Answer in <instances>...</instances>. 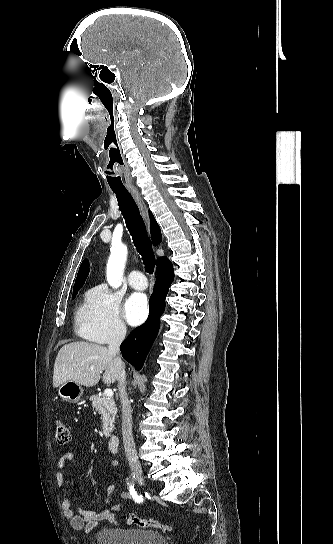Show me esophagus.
Masks as SVG:
<instances>
[{
    "label": "esophagus",
    "instance_id": "obj_1",
    "mask_svg": "<svg viewBox=\"0 0 333 544\" xmlns=\"http://www.w3.org/2000/svg\"><path fill=\"white\" fill-rule=\"evenodd\" d=\"M131 195L133 196L136 204L138 205L139 209H140V212H141V215L145 221V224H146V227L149 231V216H148V212H147V207H146V204L141 196V194L139 193L138 189L136 188H130L129 189Z\"/></svg>",
    "mask_w": 333,
    "mask_h": 544
}]
</instances>
